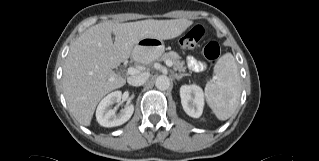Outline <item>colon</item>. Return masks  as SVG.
I'll list each match as a JSON object with an SVG mask.
<instances>
[{"label":"colon","mask_w":319,"mask_h":161,"mask_svg":"<svg viewBox=\"0 0 319 161\" xmlns=\"http://www.w3.org/2000/svg\"><path fill=\"white\" fill-rule=\"evenodd\" d=\"M204 35V28L200 25L192 27L180 38V46L184 49H192L202 39ZM204 58L210 62L215 63L220 58V44L216 40H210L203 48Z\"/></svg>","instance_id":"obj_1"}]
</instances>
